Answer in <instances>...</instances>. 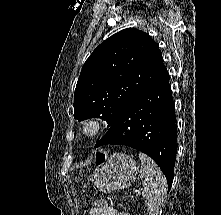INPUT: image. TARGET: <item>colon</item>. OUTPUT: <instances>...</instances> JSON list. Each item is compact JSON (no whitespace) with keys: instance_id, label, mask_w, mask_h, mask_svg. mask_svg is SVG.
<instances>
[{"instance_id":"obj_1","label":"colon","mask_w":221,"mask_h":215,"mask_svg":"<svg viewBox=\"0 0 221 215\" xmlns=\"http://www.w3.org/2000/svg\"><path fill=\"white\" fill-rule=\"evenodd\" d=\"M96 163L101 164L105 161V154L102 151H98L95 156Z\"/></svg>"}]
</instances>
